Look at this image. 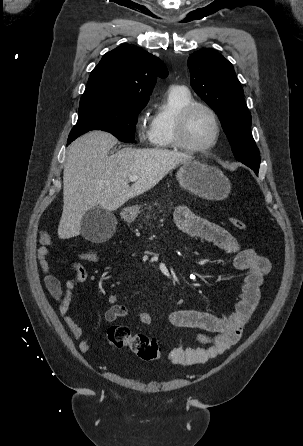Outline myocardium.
Masks as SVG:
<instances>
[{
	"label": "myocardium",
	"mask_w": 303,
	"mask_h": 446,
	"mask_svg": "<svg viewBox=\"0 0 303 446\" xmlns=\"http://www.w3.org/2000/svg\"><path fill=\"white\" fill-rule=\"evenodd\" d=\"M196 109L205 110L211 117L214 125V136L210 143L205 146H193L186 139L187 121ZM221 136V125L217 113L209 105L202 102H191L185 106L177 115L174 127V139L177 148L193 153H204L213 149L219 142Z\"/></svg>",
	"instance_id": "f54148a6"
}]
</instances>
